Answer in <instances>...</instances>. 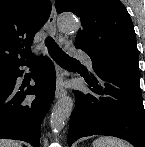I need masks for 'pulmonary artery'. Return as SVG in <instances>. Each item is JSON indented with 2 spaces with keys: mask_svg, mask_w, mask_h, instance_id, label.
Listing matches in <instances>:
<instances>
[{
  "mask_svg": "<svg viewBox=\"0 0 145 147\" xmlns=\"http://www.w3.org/2000/svg\"><path fill=\"white\" fill-rule=\"evenodd\" d=\"M74 55H75L77 58L81 59V60L86 64V66H87L89 69H92V67H93V62H92L90 56H89L87 53H85V52H75Z\"/></svg>",
  "mask_w": 145,
  "mask_h": 147,
  "instance_id": "1",
  "label": "pulmonary artery"
}]
</instances>
